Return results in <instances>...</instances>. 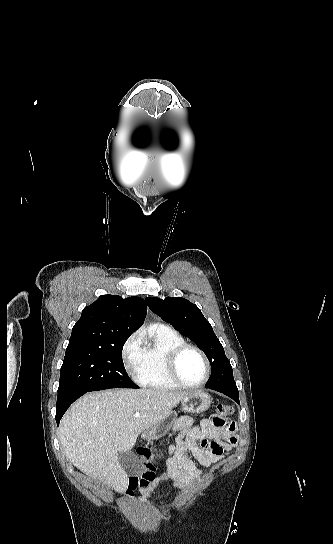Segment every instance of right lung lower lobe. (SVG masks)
Instances as JSON below:
<instances>
[{
    "mask_svg": "<svg viewBox=\"0 0 333 544\" xmlns=\"http://www.w3.org/2000/svg\"><path fill=\"white\" fill-rule=\"evenodd\" d=\"M87 392L91 391H81L78 389H67V390H60L57 394V404H56V422L57 425H59V422L63 416V414L66 412V410L69 408V406L77 400L79 397L84 395Z\"/></svg>",
    "mask_w": 333,
    "mask_h": 544,
    "instance_id": "98d812e1",
    "label": "right lung lower lobe"
}]
</instances>
